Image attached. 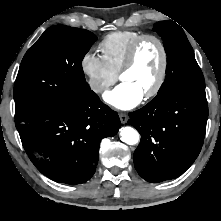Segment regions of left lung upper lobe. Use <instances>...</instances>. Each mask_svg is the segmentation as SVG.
<instances>
[{
  "instance_id": "obj_1",
  "label": "left lung upper lobe",
  "mask_w": 221,
  "mask_h": 221,
  "mask_svg": "<svg viewBox=\"0 0 221 221\" xmlns=\"http://www.w3.org/2000/svg\"><path fill=\"white\" fill-rule=\"evenodd\" d=\"M153 30L162 37L167 54L166 77L158 94L172 89L205 94L202 71L182 28L172 21H160Z\"/></svg>"
}]
</instances>
